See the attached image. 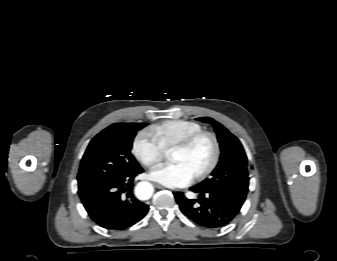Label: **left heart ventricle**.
<instances>
[{"instance_id": "b2bd125f", "label": "left heart ventricle", "mask_w": 337, "mask_h": 261, "mask_svg": "<svg viewBox=\"0 0 337 261\" xmlns=\"http://www.w3.org/2000/svg\"><path fill=\"white\" fill-rule=\"evenodd\" d=\"M213 143L210 138L200 139L192 148L185 151H173L171 160L183 163L196 175L203 171L211 162L213 157Z\"/></svg>"}]
</instances>
